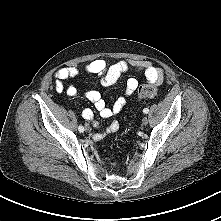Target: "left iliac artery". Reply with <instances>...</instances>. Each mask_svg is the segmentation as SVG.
Segmentation results:
<instances>
[{"mask_svg": "<svg viewBox=\"0 0 221 221\" xmlns=\"http://www.w3.org/2000/svg\"><path fill=\"white\" fill-rule=\"evenodd\" d=\"M149 112V109L148 108H144L143 109V113L147 114Z\"/></svg>", "mask_w": 221, "mask_h": 221, "instance_id": "1", "label": "left iliac artery"}]
</instances>
